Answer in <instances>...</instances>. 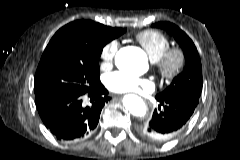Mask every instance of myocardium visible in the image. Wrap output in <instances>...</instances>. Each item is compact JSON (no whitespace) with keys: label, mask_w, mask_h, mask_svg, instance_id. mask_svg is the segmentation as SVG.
Returning a JSON list of instances; mask_svg holds the SVG:
<instances>
[{"label":"myocardium","mask_w":240,"mask_h":160,"mask_svg":"<svg viewBox=\"0 0 240 160\" xmlns=\"http://www.w3.org/2000/svg\"><path fill=\"white\" fill-rule=\"evenodd\" d=\"M159 76L166 82L175 81L185 67V56L178 48L168 49L156 61Z\"/></svg>","instance_id":"f54148a6"}]
</instances>
